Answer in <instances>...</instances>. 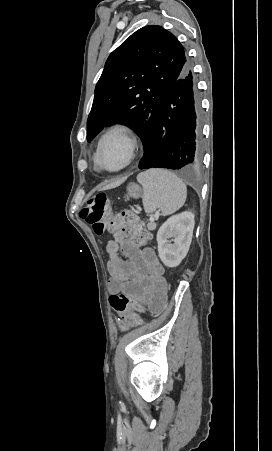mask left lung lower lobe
I'll return each mask as SVG.
<instances>
[{
  "label": "left lung lower lobe",
  "mask_w": 272,
  "mask_h": 451,
  "mask_svg": "<svg viewBox=\"0 0 272 451\" xmlns=\"http://www.w3.org/2000/svg\"><path fill=\"white\" fill-rule=\"evenodd\" d=\"M199 105L194 75L185 69L162 104L145 157L139 168L191 171L201 163Z\"/></svg>",
  "instance_id": "obj_1"
}]
</instances>
